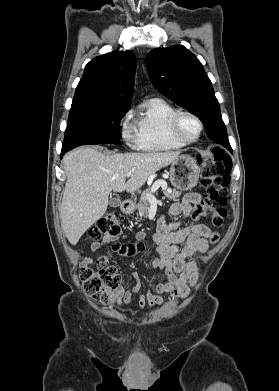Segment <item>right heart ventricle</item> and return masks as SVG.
<instances>
[{
	"mask_svg": "<svg viewBox=\"0 0 279 391\" xmlns=\"http://www.w3.org/2000/svg\"><path fill=\"white\" fill-rule=\"evenodd\" d=\"M178 109L161 98L147 100L136 121L137 147L144 151H171L185 145L176 141L170 132V121Z\"/></svg>",
	"mask_w": 279,
	"mask_h": 391,
	"instance_id": "e07e8e85",
	"label": "right heart ventricle"
}]
</instances>
